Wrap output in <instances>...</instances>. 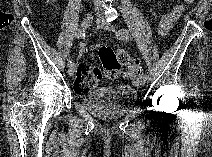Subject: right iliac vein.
<instances>
[{"mask_svg": "<svg viewBox=\"0 0 212 157\" xmlns=\"http://www.w3.org/2000/svg\"><path fill=\"white\" fill-rule=\"evenodd\" d=\"M93 21V16L91 14H88L82 21L81 23V28L79 29V31L85 30L86 28L90 27L91 23ZM75 73V67L72 65L69 67L68 69V74L70 76H73Z\"/></svg>", "mask_w": 212, "mask_h": 157, "instance_id": "1", "label": "right iliac vein"}]
</instances>
